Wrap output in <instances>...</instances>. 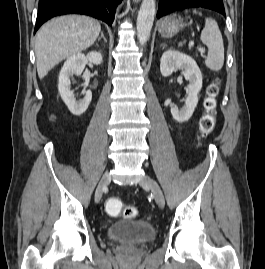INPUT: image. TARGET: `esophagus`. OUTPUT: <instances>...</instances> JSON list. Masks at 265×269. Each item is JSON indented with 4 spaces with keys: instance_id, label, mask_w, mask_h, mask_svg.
<instances>
[{
    "instance_id": "esophagus-1",
    "label": "esophagus",
    "mask_w": 265,
    "mask_h": 269,
    "mask_svg": "<svg viewBox=\"0 0 265 269\" xmlns=\"http://www.w3.org/2000/svg\"><path fill=\"white\" fill-rule=\"evenodd\" d=\"M134 2H139L140 0H133Z\"/></svg>"
}]
</instances>
